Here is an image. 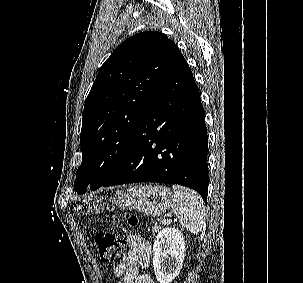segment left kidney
<instances>
[{"label": "left kidney", "mask_w": 303, "mask_h": 283, "mask_svg": "<svg viewBox=\"0 0 303 283\" xmlns=\"http://www.w3.org/2000/svg\"><path fill=\"white\" fill-rule=\"evenodd\" d=\"M153 266L159 283H170L179 274L185 252V241L181 231L165 228L157 235L153 245Z\"/></svg>", "instance_id": "5707ae66"}]
</instances>
